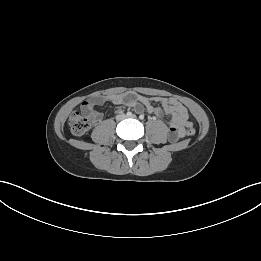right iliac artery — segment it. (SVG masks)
Listing matches in <instances>:
<instances>
[{
    "label": "right iliac artery",
    "mask_w": 261,
    "mask_h": 261,
    "mask_svg": "<svg viewBox=\"0 0 261 261\" xmlns=\"http://www.w3.org/2000/svg\"><path fill=\"white\" fill-rule=\"evenodd\" d=\"M126 115H127L128 117H131L133 114H132V112H127Z\"/></svg>",
    "instance_id": "82829eb1"
}]
</instances>
